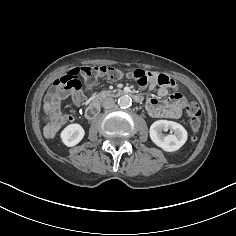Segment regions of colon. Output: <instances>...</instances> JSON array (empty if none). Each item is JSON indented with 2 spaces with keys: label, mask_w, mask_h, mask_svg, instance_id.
I'll return each instance as SVG.
<instances>
[{
  "label": "colon",
  "mask_w": 236,
  "mask_h": 236,
  "mask_svg": "<svg viewBox=\"0 0 236 236\" xmlns=\"http://www.w3.org/2000/svg\"><path fill=\"white\" fill-rule=\"evenodd\" d=\"M128 73L115 67L110 66H82L75 68L62 77H60L50 88L49 95L54 100L62 99L68 91L79 90L82 83L93 85L99 79H107L109 81H117ZM134 78L140 85H146L150 76L144 71H135ZM187 113L189 115V123L193 132V139H196V134L201 126V109L200 106L191 102L187 105Z\"/></svg>",
  "instance_id": "obj_1"
}]
</instances>
